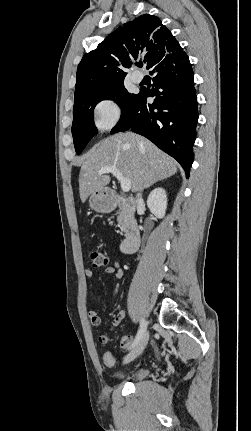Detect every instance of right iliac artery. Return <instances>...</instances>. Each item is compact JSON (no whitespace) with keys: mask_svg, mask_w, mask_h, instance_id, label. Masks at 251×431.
I'll list each match as a JSON object with an SVG mask.
<instances>
[{"mask_svg":"<svg viewBox=\"0 0 251 431\" xmlns=\"http://www.w3.org/2000/svg\"><path fill=\"white\" fill-rule=\"evenodd\" d=\"M146 328H147V323H146V321H145L144 319H141V322H140V328H139V330H138V333H137V335H136V337H135V340H134V342H133L132 346H134L135 344H137V343H138V341L140 340V338L142 337V335H143V334H144V332L146 331Z\"/></svg>","mask_w":251,"mask_h":431,"instance_id":"right-iliac-artery-1","label":"right iliac artery"}]
</instances>
